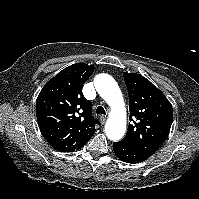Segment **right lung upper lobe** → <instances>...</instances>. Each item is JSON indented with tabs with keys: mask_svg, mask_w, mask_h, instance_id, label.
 I'll list each match as a JSON object with an SVG mask.
<instances>
[{
	"mask_svg": "<svg viewBox=\"0 0 199 199\" xmlns=\"http://www.w3.org/2000/svg\"><path fill=\"white\" fill-rule=\"evenodd\" d=\"M93 65L77 63L61 71L42 88L36 116L42 135L57 151L72 152L86 144L95 132L91 102L82 87Z\"/></svg>",
	"mask_w": 199,
	"mask_h": 199,
	"instance_id": "cb5924a9",
	"label": "right lung upper lobe"
}]
</instances>
